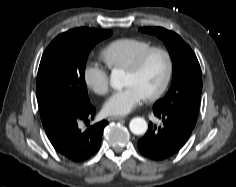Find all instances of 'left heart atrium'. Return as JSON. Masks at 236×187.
Segmentation results:
<instances>
[{
  "mask_svg": "<svg viewBox=\"0 0 236 187\" xmlns=\"http://www.w3.org/2000/svg\"><path fill=\"white\" fill-rule=\"evenodd\" d=\"M144 98L143 93L134 85L113 93L104 103V111L113 116L129 114Z\"/></svg>",
  "mask_w": 236,
  "mask_h": 187,
  "instance_id": "39dd6f15",
  "label": "left heart atrium"
}]
</instances>
